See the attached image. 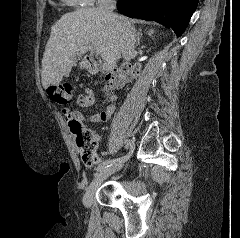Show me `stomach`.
<instances>
[{
	"label": "stomach",
	"instance_id": "obj_1",
	"mask_svg": "<svg viewBox=\"0 0 240 238\" xmlns=\"http://www.w3.org/2000/svg\"><path fill=\"white\" fill-rule=\"evenodd\" d=\"M85 65H86V64L83 62V63H82V66H85Z\"/></svg>",
	"mask_w": 240,
	"mask_h": 238
}]
</instances>
